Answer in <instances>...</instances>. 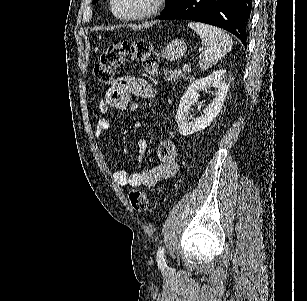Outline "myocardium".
<instances>
[{"mask_svg":"<svg viewBox=\"0 0 307 301\" xmlns=\"http://www.w3.org/2000/svg\"><path fill=\"white\" fill-rule=\"evenodd\" d=\"M117 2L118 0H110L108 12L113 16H117L118 22H137L138 18L153 17L157 13L162 0H151L145 11H133L132 8H123L122 13L119 12L122 6Z\"/></svg>","mask_w":307,"mask_h":301,"instance_id":"f54148a6","label":"myocardium"}]
</instances>
